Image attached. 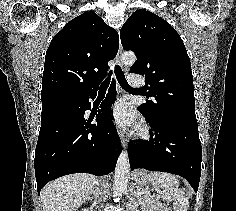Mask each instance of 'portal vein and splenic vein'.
I'll use <instances>...</instances> for the list:
<instances>
[{
    "label": "portal vein and splenic vein",
    "instance_id": "portal-vein-and-splenic-vein-1",
    "mask_svg": "<svg viewBox=\"0 0 236 211\" xmlns=\"http://www.w3.org/2000/svg\"><path fill=\"white\" fill-rule=\"evenodd\" d=\"M143 194V192H138L137 197H140Z\"/></svg>",
    "mask_w": 236,
    "mask_h": 211
}]
</instances>
